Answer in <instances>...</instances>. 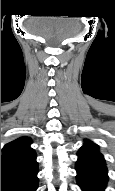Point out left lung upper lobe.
Masks as SVG:
<instances>
[{
    "instance_id": "left-lung-upper-lobe-1",
    "label": "left lung upper lobe",
    "mask_w": 115,
    "mask_h": 191,
    "mask_svg": "<svg viewBox=\"0 0 115 191\" xmlns=\"http://www.w3.org/2000/svg\"><path fill=\"white\" fill-rule=\"evenodd\" d=\"M99 146L89 140L78 151V160H94L105 163L103 155L99 152Z\"/></svg>"
}]
</instances>
